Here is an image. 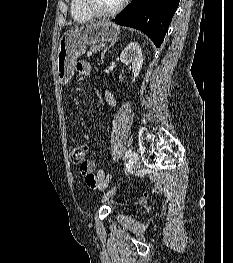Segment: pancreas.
Returning <instances> with one entry per match:
<instances>
[{
  "mask_svg": "<svg viewBox=\"0 0 233 263\" xmlns=\"http://www.w3.org/2000/svg\"><path fill=\"white\" fill-rule=\"evenodd\" d=\"M99 49H100V46H98V45H94V46L90 47V51H93V52H96Z\"/></svg>",
  "mask_w": 233,
  "mask_h": 263,
  "instance_id": "1",
  "label": "pancreas"
}]
</instances>
